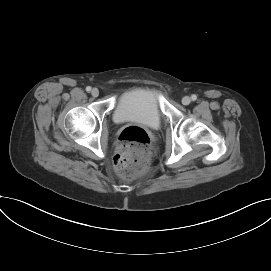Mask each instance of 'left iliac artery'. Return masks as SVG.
<instances>
[{
  "label": "left iliac artery",
  "mask_w": 271,
  "mask_h": 271,
  "mask_svg": "<svg viewBox=\"0 0 271 271\" xmlns=\"http://www.w3.org/2000/svg\"><path fill=\"white\" fill-rule=\"evenodd\" d=\"M191 99H192L193 101H195V100L197 99V96L193 94V95L191 96Z\"/></svg>",
  "instance_id": "left-iliac-artery-1"
}]
</instances>
